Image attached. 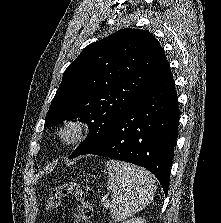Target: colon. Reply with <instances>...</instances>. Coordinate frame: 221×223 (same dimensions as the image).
I'll use <instances>...</instances> for the list:
<instances>
[{"label": "colon", "instance_id": "1", "mask_svg": "<svg viewBox=\"0 0 221 223\" xmlns=\"http://www.w3.org/2000/svg\"><path fill=\"white\" fill-rule=\"evenodd\" d=\"M67 197H73L78 202L73 210V223H91L92 207L86 201V191L76 181L61 183L53 188L47 198V208H57L61 199Z\"/></svg>", "mask_w": 221, "mask_h": 223}]
</instances>
